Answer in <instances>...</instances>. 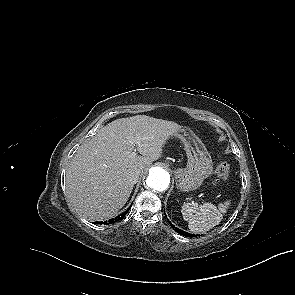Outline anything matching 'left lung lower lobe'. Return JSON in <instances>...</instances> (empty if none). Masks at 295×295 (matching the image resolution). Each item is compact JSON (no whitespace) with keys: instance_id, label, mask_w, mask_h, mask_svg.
<instances>
[{"instance_id":"obj_1","label":"left lung lower lobe","mask_w":295,"mask_h":295,"mask_svg":"<svg viewBox=\"0 0 295 295\" xmlns=\"http://www.w3.org/2000/svg\"><path fill=\"white\" fill-rule=\"evenodd\" d=\"M164 214H165V213H164ZM165 216H166V215H165ZM168 222H169V220H168ZM169 223H170V222H169ZM170 225H171V227H172L176 232H178L179 234H181V235H183V236H186V237H193V236H196V235H194V234H190V233H188V232H185V231H183V230H181V229L175 227L172 223H170Z\"/></svg>"}]
</instances>
